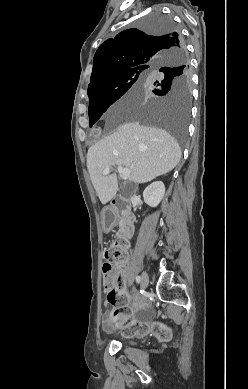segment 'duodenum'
Returning <instances> with one entry per match:
<instances>
[{
  "label": "duodenum",
  "instance_id": "obj_1",
  "mask_svg": "<svg viewBox=\"0 0 248 389\" xmlns=\"http://www.w3.org/2000/svg\"><path fill=\"white\" fill-rule=\"evenodd\" d=\"M121 206H122V203L118 197L112 198L110 201V207H109L111 209L110 213H114V216H115V214L118 212V210L121 208ZM110 221H111V224L109 226H106L104 224V227L106 230H110L114 226V220H110ZM134 222H135V216L131 210L130 205L127 204L122 208L121 240L123 242H126L132 236V234L134 232Z\"/></svg>",
  "mask_w": 248,
  "mask_h": 389
}]
</instances>
